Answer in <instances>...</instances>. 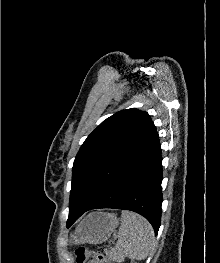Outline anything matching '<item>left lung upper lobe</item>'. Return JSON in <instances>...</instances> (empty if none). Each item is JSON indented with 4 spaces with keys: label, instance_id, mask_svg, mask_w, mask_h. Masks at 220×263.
<instances>
[{
    "label": "left lung upper lobe",
    "instance_id": "1",
    "mask_svg": "<svg viewBox=\"0 0 220 263\" xmlns=\"http://www.w3.org/2000/svg\"><path fill=\"white\" fill-rule=\"evenodd\" d=\"M157 137L144 111L126 109L104 120L75 158L69 211L88 208Z\"/></svg>",
    "mask_w": 220,
    "mask_h": 263
}]
</instances>
